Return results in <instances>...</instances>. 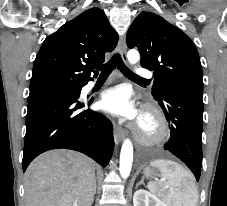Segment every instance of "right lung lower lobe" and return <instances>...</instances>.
<instances>
[{"label": "right lung lower lobe", "mask_w": 227, "mask_h": 206, "mask_svg": "<svg viewBox=\"0 0 227 206\" xmlns=\"http://www.w3.org/2000/svg\"><path fill=\"white\" fill-rule=\"evenodd\" d=\"M78 98L41 97L28 102L24 171L39 154L57 148L82 152L103 167L108 164L114 147L113 127L104 115L83 110L87 102Z\"/></svg>", "instance_id": "98d812e1"}]
</instances>
